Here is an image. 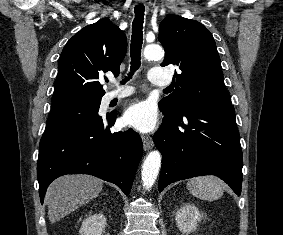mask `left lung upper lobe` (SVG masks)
I'll return each mask as SVG.
<instances>
[{
  "instance_id": "5c2ea615",
  "label": "left lung upper lobe",
  "mask_w": 283,
  "mask_h": 235,
  "mask_svg": "<svg viewBox=\"0 0 283 235\" xmlns=\"http://www.w3.org/2000/svg\"><path fill=\"white\" fill-rule=\"evenodd\" d=\"M158 39L165 49L161 66L176 65L173 92L159 102L167 115L194 107L232 106L223 81L220 57L212 34L201 23L178 15L165 17Z\"/></svg>"
}]
</instances>
